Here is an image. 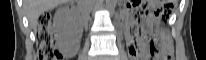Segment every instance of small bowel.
<instances>
[{"mask_svg":"<svg viewBox=\"0 0 206 60\" xmlns=\"http://www.w3.org/2000/svg\"><path fill=\"white\" fill-rule=\"evenodd\" d=\"M141 52H142L141 46L137 43V41L133 37H131L129 39L130 57L135 60L141 54Z\"/></svg>","mask_w":206,"mask_h":60,"instance_id":"obj_1","label":"small bowel"}]
</instances>
